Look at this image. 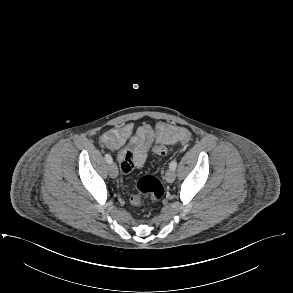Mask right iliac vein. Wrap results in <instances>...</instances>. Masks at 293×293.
I'll use <instances>...</instances> for the list:
<instances>
[{
    "instance_id": "obj_1",
    "label": "right iliac vein",
    "mask_w": 293,
    "mask_h": 293,
    "mask_svg": "<svg viewBox=\"0 0 293 293\" xmlns=\"http://www.w3.org/2000/svg\"><path fill=\"white\" fill-rule=\"evenodd\" d=\"M109 174L112 178H117L118 176V168L115 163H111L109 165Z\"/></svg>"
}]
</instances>
